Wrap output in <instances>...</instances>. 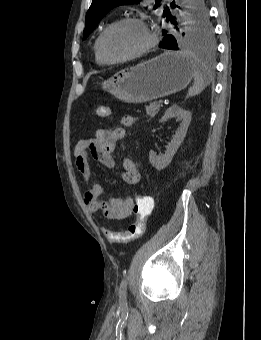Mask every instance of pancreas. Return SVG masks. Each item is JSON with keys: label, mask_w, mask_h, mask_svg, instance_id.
Masks as SVG:
<instances>
[{"label": "pancreas", "mask_w": 261, "mask_h": 340, "mask_svg": "<svg viewBox=\"0 0 261 340\" xmlns=\"http://www.w3.org/2000/svg\"><path fill=\"white\" fill-rule=\"evenodd\" d=\"M160 110V104L158 102H152L146 106L147 116L153 118Z\"/></svg>", "instance_id": "1"}]
</instances>
